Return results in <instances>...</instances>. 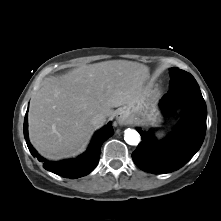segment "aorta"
<instances>
[{
  "instance_id": "aorta-1",
  "label": "aorta",
  "mask_w": 221,
  "mask_h": 221,
  "mask_svg": "<svg viewBox=\"0 0 221 221\" xmlns=\"http://www.w3.org/2000/svg\"><path fill=\"white\" fill-rule=\"evenodd\" d=\"M124 140L129 145H138L140 142V135L134 129H126L124 132Z\"/></svg>"
}]
</instances>
